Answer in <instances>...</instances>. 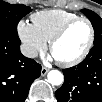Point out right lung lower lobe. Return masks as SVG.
<instances>
[{
    "label": "right lung lower lobe",
    "instance_id": "right-lung-lower-lobe-1",
    "mask_svg": "<svg viewBox=\"0 0 102 102\" xmlns=\"http://www.w3.org/2000/svg\"><path fill=\"white\" fill-rule=\"evenodd\" d=\"M18 35H0V102H24L41 65L20 52Z\"/></svg>",
    "mask_w": 102,
    "mask_h": 102
}]
</instances>
